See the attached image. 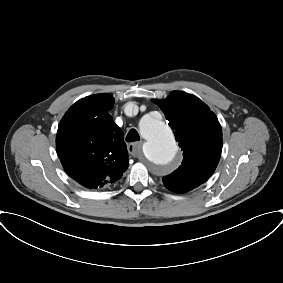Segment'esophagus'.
I'll return each instance as SVG.
<instances>
[{
  "instance_id": "1",
  "label": "esophagus",
  "mask_w": 283,
  "mask_h": 283,
  "mask_svg": "<svg viewBox=\"0 0 283 283\" xmlns=\"http://www.w3.org/2000/svg\"><path fill=\"white\" fill-rule=\"evenodd\" d=\"M142 144H143V142L130 143L127 147L128 152L134 157H139V155L141 154Z\"/></svg>"
}]
</instances>
